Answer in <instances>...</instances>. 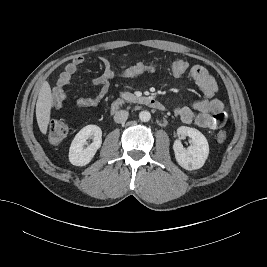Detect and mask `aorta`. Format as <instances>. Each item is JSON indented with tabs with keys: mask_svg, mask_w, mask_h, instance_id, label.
<instances>
[{
	"mask_svg": "<svg viewBox=\"0 0 267 267\" xmlns=\"http://www.w3.org/2000/svg\"><path fill=\"white\" fill-rule=\"evenodd\" d=\"M139 119L142 121V122H148L150 119H151V114L149 111H141L139 113Z\"/></svg>",
	"mask_w": 267,
	"mask_h": 267,
	"instance_id": "1",
	"label": "aorta"
}]
</instances>
